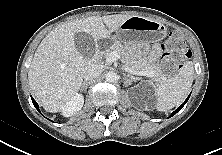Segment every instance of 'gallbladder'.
<instances>
[{
	"label": "gallbladder",
	"instance_id": "gallbladder-1",
	"mask_svg": "<svg viewBox=\"0 0 222 155\" xmlns=\"http://www.w3.org/2000/svg\"><path fill=\"white\" fill-rule=\"evenodd\" d=\"M74 42L77 50L85 58H91L95 53V41L85 32H79L74 35Z\"/></svg>",
	"mask_w": 222,
	"mask_h": 155
}]
</instances>
